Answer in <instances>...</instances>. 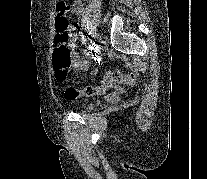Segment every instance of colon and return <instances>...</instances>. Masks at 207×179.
Here are the masks:
<instances>
[{
    "mask_svg": "<svg viewBox=\"0 0 207 179\" xmlns=\"http://www.w3.org/2000/svg\"><path fill=\"white\" fill-rule=\"evenodd\" d=\"M70 5L65 2L58 4V13L55 19L56 47L53 53V68L55 78L63 82L68 77L71 65V51L68 48L69 42V20L68 13L70 11ZM136 80L134 73L123 74L119 71H108L105 73L103 81L98 86H87L82 89L67 87L64 91V96L67 100L73 101L79 96H92L106 92L108 89L120 84H132Z\"/></svg>",
    "mask_w": 207,
    "mask_h": 179,
    "instance_id": "5ec220e1",
    "label": "colon"
}]
</instances>
